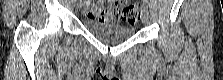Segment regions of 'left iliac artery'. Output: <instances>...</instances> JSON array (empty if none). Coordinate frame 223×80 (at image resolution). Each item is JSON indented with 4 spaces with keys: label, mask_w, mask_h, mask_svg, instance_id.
I'll use <instances>...</instances> for the list:
<instances>
[{
    "label": "left iliac artery",
    "mask_w": 223,
    "mask_h": 80,
    "mask_svg": "<svg viewBox=\"0 0 223 80\" xmlns=\"http://www.w3.org/2000/svg\"><path fill=\"white\" fill-rule=\"evenodd\" d=\"M143 3H144V5H145V7L147 8V1L144 0Z\"/></svg>",
    "instance_id": "44dca946"
}]
</instances>
